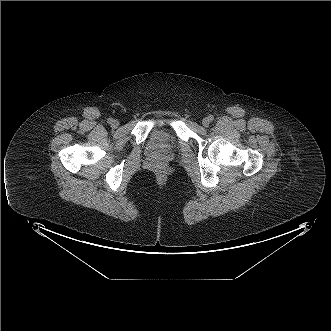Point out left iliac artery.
Here are the masks:
<instances>
[{"label":"left iliac artery","mask_w":331,"mask_h":331,"mask_svg":"<svg viewBox=\"0 0 331 331\" xmlns=\"http://www.w3.org/2000/svg\"><path fill=\"white\" fill-rule=\"evenodd\" d=\"M208 118H209L210 121H213L214 120V117L212 115H209Z\"/></svg>","instance_id":"1"}]
</instances>
